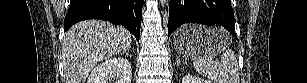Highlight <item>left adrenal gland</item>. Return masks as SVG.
Listing matches in <instances>:
<instances>
[{
    "label": "left adrenal gland",
    "mask_w": 307,
    "mask_h": 83,
    "mask_svg": "<svg viewBox=\"0 0 307 83\" xmlns=\"http://www.w3.org/2000/svg\"><path fill=\"white\" fill-rule=\"evenodd\" d=\"M181 62L180 58L178 56H176V64L179 65Z\"/></svg>",
    "instance_id": "1"
}]
</instances>
